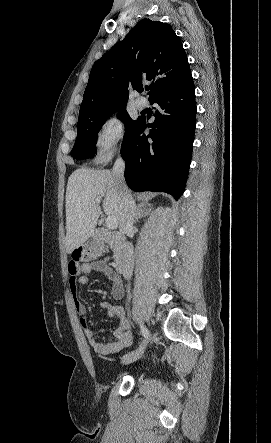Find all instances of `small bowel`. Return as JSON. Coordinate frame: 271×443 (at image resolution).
<instances>
[{
  "instance_id": "1",
  "label": "small bowel",
  "mask_w": 271,
  "mask_h": 443,
  "mask_svg": "<svg viewBox=\"0 0 271 443\" xmlns=\"http://www.w3.org/2000/svg\"><path fill=\"white\" fill-rule=\"evenodd\" d=\"M92 271L103 273L112 282V297L119 300L124 295V284L122 279L114 270L103 261H94L82 264H74L70 261L68 272L70 276V287L74 295L75 308L80 314V321L84 326L85 337L93 350L100 355H111L131 346L133 342V333L130 322L128 321L123 309L120 306L113 305L110 302H102L101 308L105 313L118 321L114 332L115 340L108 343L99 341L94 333L86 327L85 306L77 294V285L88 283V276Z\"/></svg>"
}]
</instances>
